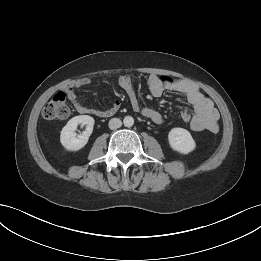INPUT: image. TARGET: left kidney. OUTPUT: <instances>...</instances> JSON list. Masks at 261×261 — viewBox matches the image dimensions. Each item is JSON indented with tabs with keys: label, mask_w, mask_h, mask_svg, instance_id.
<instances>
[{
	"label": "left kidney",
	"mask_w": 261,
	"mask_h": 261,
	"mask_svg": "<svg viewBox=\"0 0 261 261\" xmlns=\"http://www.w3.org/2000/svg\"><path fill=\"white\" fill-rule=\"evenodd\" d=\"M168 141L170 147L181 154H188L196 148V143L190 132L183 128L171 129Z\"/></svg>",
	"instance_id": "1"
}]
</instances>
